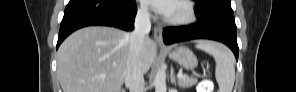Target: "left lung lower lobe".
<instances>
[{
	"label": "left lung lower lobe",
	"mask_w": 296,
	"mask_h": 92,
	"mask_svg": "<svg viewBox=\"0 0 296 92\" xmlns=\"http://www.w3.org/2000/svg\"><path fill=\"white\" fill-rule=\"evenodd\" d=\"M192 39H212L223 42L230 47L238 60L237 27L233 12L221 11L214 14L208 23L198 18L195 24L168 27L163 31V40L166 44Z\"/></svg>",
	"instance_id": "obj_1"
}]
</instances>
